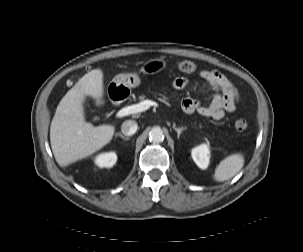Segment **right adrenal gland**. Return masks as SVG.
Here are the masks:
<instances>
[{
	"label": "right adrenal gland",
	"mask_w": 303,
	"mask_h": 252,
	"mask_svg": "<svg viewBox=\"0 0 303 252\" xmlns=\"http://www.w3.org/2000/svg\"><path fill=\"white\" fill-rule=\"evenodd\" d=\"M116 136H120L123 140H129L130 139L129 137H125L121 133H117Z\"/></svg>",
	"instance_id": "right-adrenal-gland-1"
}]
</instances>
